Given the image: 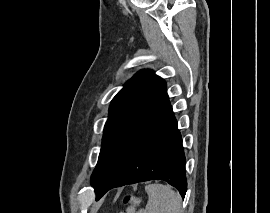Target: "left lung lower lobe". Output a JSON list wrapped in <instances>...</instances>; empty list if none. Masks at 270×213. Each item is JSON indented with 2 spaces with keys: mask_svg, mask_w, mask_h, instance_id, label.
<instances>
[{
  "mask_svg": "<svg viewBox=\"0 0 270 213\" xmlns=\"http://www.w3.org/2000/svg\"><path fill=\"white\" fill-rule=\"evenodd\" d=\"M185 163L181 135L167 98L139 125L94 188L97 199L114 187L155 179L175 186L184 197Z\"/></svg>",
  "mask_w": 270,
  "mask_h": 213,
  "instance_id": "obj_1",
  "label": "left lung lower lobe"
}]
</instances>
